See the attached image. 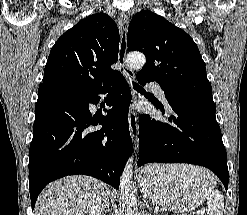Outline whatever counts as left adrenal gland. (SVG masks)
I'll use <instances>...</instances> for the list:
<instances>
[{
    "label": "left adrenal gland",
    "mask_w": 247,
    "mask_h": 215,
    "mask_svg": "<svg viewBox=\"0 0 247 215\" xmlns=\"http://www.w3.org/2000/svg\"><path fill=\"white\" fill-rule=\"evenodd\" d=\"M144 207L148 208L149 210L152 209V207L149 205V202L146 200V198H144Z\"/></svg>",
    "instance_id": "left-adrenal-gland-1"
}]
</instances>
